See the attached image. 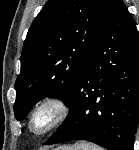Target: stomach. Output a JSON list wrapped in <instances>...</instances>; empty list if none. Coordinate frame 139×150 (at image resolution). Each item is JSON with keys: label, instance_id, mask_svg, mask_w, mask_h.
<instances>
[{"label": "stomach", "instance_id": "stomach-1", "mask_svg": "<svg viewBox=\"0 0 139 150\" xmlns=\"http://www.w3.org/2000/svg\"><path fill=\"white\" fill-rule=\"evenodd\" d=\"M55 150H76L75 147H71V146H61Z\"/></svg>", "mask_w": 139, "mask_h": 150}]
</instances>
